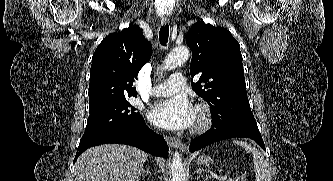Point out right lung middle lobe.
Here are the masks:
<instances>
[{"mask_svg":"<svg viewBox=\"0 0 333 181\" xmlns=\"http://www.w3.org/2000/svg\"><path fill=\"white\" fill-rule=\"evenodd\" d=\"M127 99L89 108L86 131L83 137L126 129L142 120Z\"/></svg>","mask_w":333,"mask_h":181,"instance_id":"obj_1","label":"right lung middle lobe"}]
</instances>
